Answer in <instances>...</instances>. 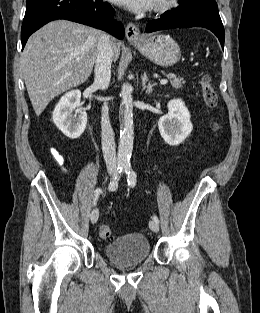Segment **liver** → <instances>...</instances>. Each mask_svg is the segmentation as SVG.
Masks as SVG:
<instances>
[{
  "label": "liver",
  "instance_id": "liver-1",
  "mask_svg": "<svg viewBox=\"0 0 260 313\" xmlns=\"http://www.w3.org/2000/svg\"><path fill=\"white\" fill-rule=\"evenodd\" d=\"M101 32L67 20H56L36 31L21 54L23 78L37 116L57 95L84 83L96 61ZM117 60L120 43L111 41Z\"/></svg>",
  "mask_w": 260,
  "mask_h": 313
}]
</instances>
